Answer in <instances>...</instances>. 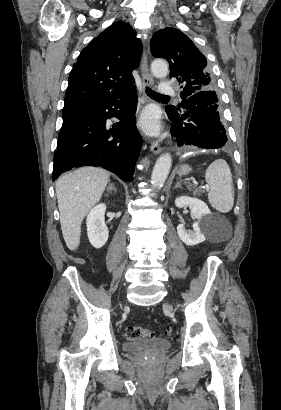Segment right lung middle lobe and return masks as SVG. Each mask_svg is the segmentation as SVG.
I'll list each match as a JSON object with an SVG mask.
<instances>
[{
  "mask_svg": "<svg viewBox=\"0 0 281 410\" xmlns=\"http://www.w3.org/2000/svg\"><path fill=\"white\" fill-rule=\"evenodd\" d=\"M87 110H88V108H83V107L63 109V111H62L63 123H67V122L75 119L76 117L82 115Z\"/></svg>",
  "mask_w": 281,
  "mask_h": 410,
  "instance_id": "obj_1",
  "label": "right lung middle lobe"
}]
</instances>
